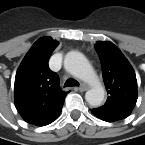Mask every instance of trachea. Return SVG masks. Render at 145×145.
<instances>
[{
    "mask_svg": "<svg viewBox=\"0 0 145 145\" xmlns=\"http://www.w3.org/2000/svg\"><path fill=\"white\" fill-rule=\"evenodd\" d=\"M71 86H79V83L74 79H68L65 82L64 87H71Z\"/></svg>",
    "mask_w": 145,
    "mask_h": 145,
    "instance_id": "1",
    "label": "trachea"
}]
</instances>
